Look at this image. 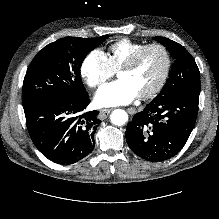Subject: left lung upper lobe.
Instances as JSON below:
<instances>
[{"mask_svg":"<svg viewBox=\"0 0 219 219\" xmlns=\"http://www.w3.org/2000/svg\"><path fill=\"white\" fill-rule=\"evenodd\" d=\"M154 39L163 44L175 59L165 86L154 100L167 98L186 88H200V72L188 51L168 38L155 37Z\"/></svg>","mask_w":219,"mask_h":219,"instance_id":"left-lung-upper-lobe-1","label":"left lung upper lobe"}]
</instances>
